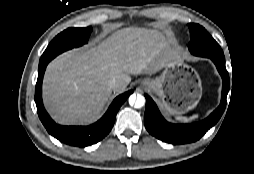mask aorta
<instances>
[{
    "label": "aorta",
    "instance_id": "1",
    "mask_svg": "<svg viewBox=\"0 0 254 174\" xmlns=\"http://www.w3.org/2000/svg\"><path fill=\"white\" fill-rule=\"evenodd\" d=\"M129 104L135 108H141L145 105V97L141 94H133L129 98Z\"/></svg>",
    "mask_w": 254,
    "mask_h": 174
}]
</instances>
